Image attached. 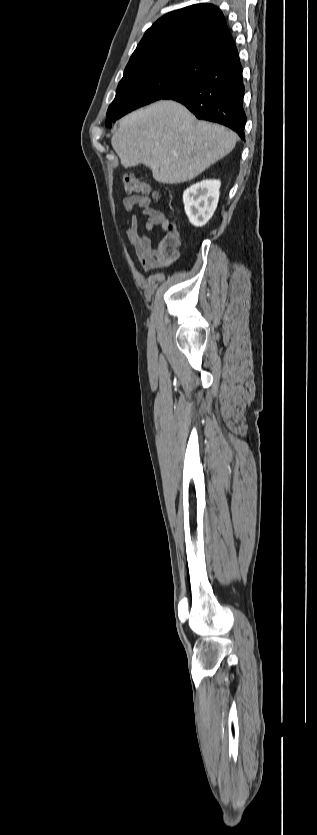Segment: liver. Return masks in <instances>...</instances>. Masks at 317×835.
<instances>
[{
	"label": "liver",
	"instance_id": "6515ba94",
	"mask_svg": "<svg viewBox=\"0 0 317 835\" xmlns=\"http://www.w3.org/2000/svg\"><path fill=\"white\" fill-rule=\"evenodd\" d=\"M237 140L224 126L196 120L180 103L160 100L123 117L111 144L125 168L142 163L156 181L175 184L229 154Z\"/></svg>",
	"mask_w": 317,
	"mask_h": 835
}]
</instances>
